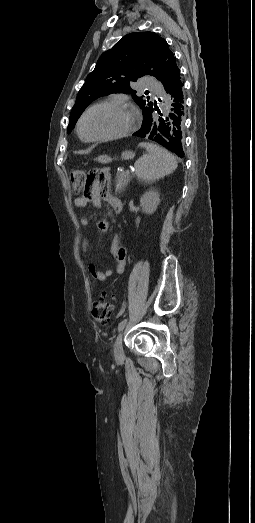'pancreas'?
<instances>
[{
  "instance_id": "obj_1",
  "label": "pancreas",
  "mask_w": 255,
  "mask_h": 523,
  "mask_svg": "<svg viewBox=\"0 0 255 523\" xmlns=\"http://www.w3.org/2000/svg\"><path fill=\"white\" fill-rule=\"evenodd\" d=\"M131 176L126 172H118L116 176V194H121L124 192Z\"/></svg>"
}]
</instances>
